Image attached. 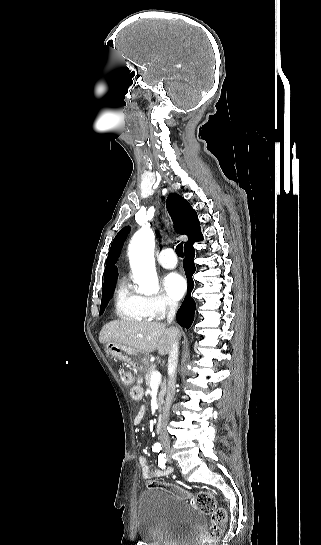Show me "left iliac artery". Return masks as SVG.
Masks as SVG:
<instances>
[{
  "instance_id": "obj_1",
  "label": "left iliac artery",
  "mask_w": 321,
  "mask_h": 545,
  "mask_svg": "<svg viewBox=\"0 0 321 545\" xmlns=\"http://www.w3.org/2000/svg\"><path fill=\"white\" fill-rule=\"evenodd\" d=\"M166 463V454H159L158 465L160 468H164Z\"/></svg>"
}]
</instances>
